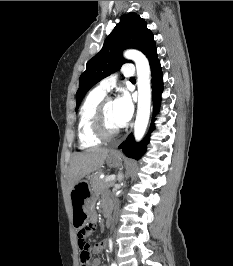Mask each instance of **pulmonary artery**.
Masks as SVG:
<instances>
[{
	"label": "pulmonary artery",
	"instance_id": "1",
	"mask_svg": "<svg viewBox=\"0 0 233 266\" xmlns=\"http://www.w3.org/2000/svg\"><path fill=\"white\" fill-rule=\"evenodd\" d=\"M121 73L125 77H132L134 75L133 65L132 64L124 65L121 69ZM116 79H117V74H112L101 80L96 89L106 94L115 85Z\"/></svg>",
	"mask_w": 233,
	"mask_h": 266
}]
</instances>
